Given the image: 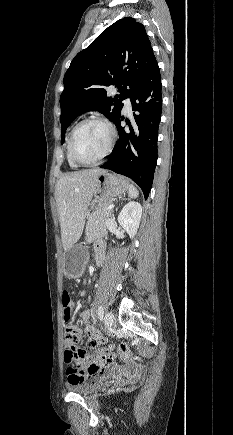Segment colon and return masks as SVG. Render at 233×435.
<instances>
[{"mask_svg": "<svg viewBox=\"0 0 233 435\" xmlns=\"http://www.w3.org/2000/svg\"><path fill=\"white\" fill-rule=\"evenodd\" d=\"M61 303L63 306L64 320L69 321L72 316V300L69 292L64 289L62 291ZM64 335L67 342L64 352V361L69 366H78L82 360L81 349L78 348L77 343L79 341L80 332L74 325H66L64 328ZM113 351L112 347L107 348L104 352H98L93 355V361L87 368L89 373H96L100 370L103 364V358Z\"/></svg>", "mask_w": 233, "mask_h": 435, "instance_id": "5ec220e1", "label": "colon"}]
</instances>
